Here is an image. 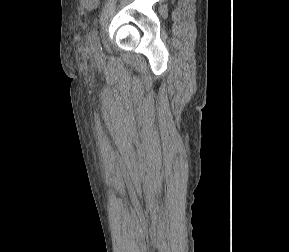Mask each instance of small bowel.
Returning a JSON list of instances; mask_svg holds the SVG:
<instances>
[{"label":"small bowel","mask_w":289,"mask_h":252,"mask_svg":"<svg viewBox=\"0 0 289 252\" xmlns=\"http://www.w3.org/2000/svg\"><path fill=\"white\" fill-rule=\"evenodd\" d=\"M81 6L87 10L92 11L99 5V0H80Z\"/></svg>","instance_id":"small-bowel-1"}]
</instances>
